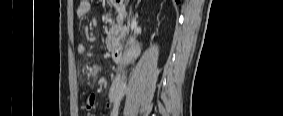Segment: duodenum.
Instances as JSON below:
<instances>
[{
    "label": "duodenum",
    "mask_w": 283,
    "mask_h": 116,
    "mask_svg": "<svg viewBox=\"0 0 283 116\" xmlns=\"http://www.w3.org/2000/svg\"><path fill=\"white\" fill-rule=\"evenodd\" d=\"M115 10L120 17H124L125 14H126V7L122 4L116 5ZM112 57L119 64H126V63L129 62V59L127 57V52L121 46L114 48V50L112 52ZM116 86L125 87L126 83L123 80H121L120 78H118L113 83V87L115 88Z\"/></svg>",
    "instance_id": "obj_1"
}]
</instances>
